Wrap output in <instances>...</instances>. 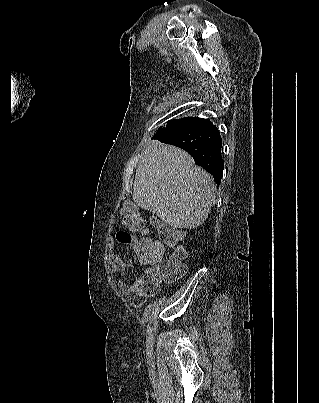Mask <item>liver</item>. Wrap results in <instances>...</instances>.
Instances as JSON below:
<instances>
[{
	"label": "liver",
	"mask_w": 319,
	"mask_h": 403,
	"mask_svg": "<svg viewBox=\"0 0 319 403\" xmlns=\"http://www.w3.org/2000/svg\"><path fill=\"white\" fill-rule=\"evenodd\" d=\"M211 176L184 150L147 143L136 170L133 200L165 224L193 229L204 223L216 197Z\"/></svg>",
	"instance_id": "6515ba94"
}]
</instances>
